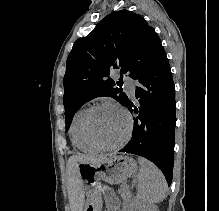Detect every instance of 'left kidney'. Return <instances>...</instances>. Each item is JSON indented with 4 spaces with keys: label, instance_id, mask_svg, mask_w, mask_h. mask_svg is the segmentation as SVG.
Returning <instances> with one entry per match:
<instances>
[{
    "label": "left kidney",
    "instance_id": "5707ae66",
    "mask_svg": "<svg viewBox=\"0 0 219 211\" xmlns=\"http://www.w3.org/2000/svg\"><path fill=\"white\" fill-rule=\"evenodd\" d=\"M133 207L134 209H139V211H153V209L157 211V207H149V205H144V203H142V201H139V199H135Z\"/></svg>",
    "mask_w": 219,
    "mask_h": 211
}]
</instances>
